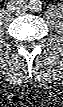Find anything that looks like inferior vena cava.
Returning <instances> with one entry per match:
<instances>
[{
    "label": "inferior vena cava",
    "instance_id": "obj_1",
    "mask_svg": "<svg viewBox=\"0 0 63 107\" xmlns=\"http://www.w3.org/2000/svg\"><path fill=\"white\" fill-rule=\"evenodd\" d=\"M26 9V5L22 1L10 2L8 4V10L15 15L24 13Z\"/></svg>",
    "mask_w": 63,
    "mask_h": 107
}]
</instances>
